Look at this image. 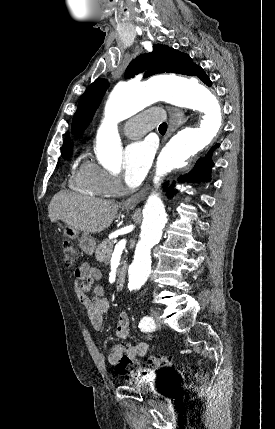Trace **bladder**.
<instances>
[{
    "instance_id": "31cf9c89",
    "label": "bladder",
    "mask_w": 275,
    "mask_h": 429,
    "mask_svg": "<svg viewBox=\"0 0 275 429\" xmlns=\"http://www.w3.org/2000/svg\"><path fill=\"white\" fill-rule=\"evenodd\" d=\"M153 384H136V393H149L150 398H173L172 377H153Z\"/></svg>"
}]
</instances>
